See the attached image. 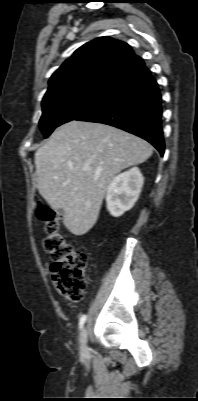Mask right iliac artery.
I'll return each mask as SVG.
<instances>
[{
    "label": "right iliac artery",
    "mask_w": 198,
    "mask_h": 401,
    "mask_svg": "<svg viewBox=\"0 0 198 401\" xmlns=\"http://www.w3.org/2000/svg\"><path fill=\"white\" fill-rule=\"evenodd\" d=\"M87 316L86 315H82L79 321V328L81 329L86 321Z\"/></svg>",
    "instance_id": "82829eb1"
}]
</instances>
